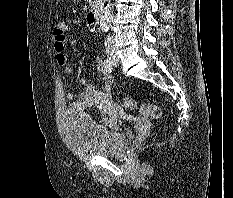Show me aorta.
Masks as SVG:
<instances>
[{
  "label": "aorta",
  "instance_id": "1",
  "mask_svg": "<svg viewBox=\"0 0 233 198\" xmlns=\"http://www.w3.org/2000/svg\"><path fill=\"white\" fill-rule=\"evenodd\" d=\"M111 0H108L107 5L104 8L100 19V28L102 31L107 32L110 27V23L112 20V4H110Z\"/></svg>",
  "mask_w": 233,
  "mask_h": 198
}]
</instances>
